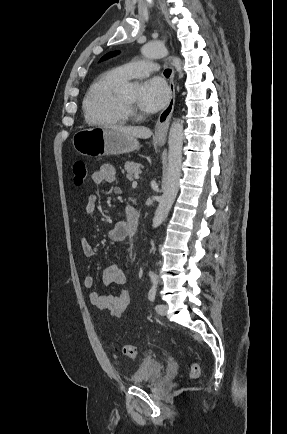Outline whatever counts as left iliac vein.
Returning a JSON list of instances; mask_svg holds the SVG:
<instances>
[{
    "instance_id": "left-iliac-vein-1",
    "label": "left iliac vein",
    "mask_w": 287,
    "mask_h": 434,
    "mask_svg": "<svg viewBox=\"0 0 287 434\" xmlns=\"http://www.w3.org/2000/svg\"><path fill=\"white\" fill-rule=\"evenodd\" d=\"M167 309H168V307L165 304H158L156 306V311L161 316H165L167 314Z\"/></svg>"
}]
</instances>
